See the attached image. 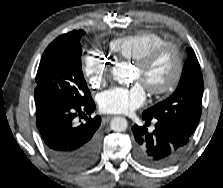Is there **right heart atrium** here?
<instances>
[{
    "mask_svg": "<svg viewBox=\"0 0 223 188\" xmlns=\"http://www.w3.org/2000/svg\"><path fill=\"white\" fill-rule=\"evenodd\" d=\"M109 62L96 52H89L82 62V71L88 83L98 88L102 86L109 76Z\"/></svg>",
    "mask_w": 223,
    "mask_h": 188,
    "instance_id": "obj_1",
    "label": "right heart atrium"
}]
</instances>
